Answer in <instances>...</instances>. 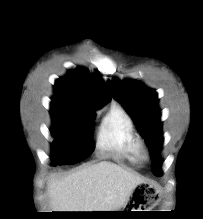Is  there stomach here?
Instances as JSON below:
<instances>
[{"mask_svg":"<svg viewBox=\"0 0 203 219\" xmlns=\"http://www.w3.org/2000/svg\"><path fill=\"white\" fill-rule=\"evenodd\" d=\"M157 195L158 192L152 186L143 188L141 195V197L143 198V201L141 202L143 204H139L138 207H134V208L136 209H141L142 207L144 209L153 208L158 203V200L156 199ZM116 211H124V210H116ZM131 211H150V210H131Z\"/></svg>","mask_w":203,"mask_h":219,"instance_id":"stomach-1","label":"stomach"}]
</instances>
